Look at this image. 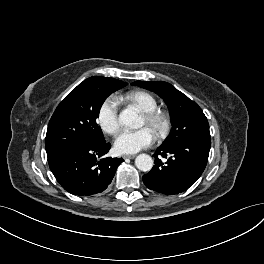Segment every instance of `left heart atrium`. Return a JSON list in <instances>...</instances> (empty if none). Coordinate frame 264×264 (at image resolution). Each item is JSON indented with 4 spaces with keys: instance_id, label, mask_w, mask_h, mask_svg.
Instances as JSON below:
<instances>
[{
    "instance_id": "left-heart-atrium-1",
    "label": "left heart atrium",
    "mask_w": 264,
    "mask_h": 264,
    "mask_svg": "<svg viewBox=\"0 0 264 264\" xmlns=\"http://www.w3.org/2000/svg\"><path fill=\"white\" fill-rule=\"evenodd\" d=\"M155 141L153 132L143 127L138 130H123L114 141V148L119 154H134L151 146Z\"/></svg>"
}]
</instances>
